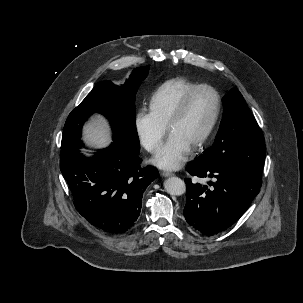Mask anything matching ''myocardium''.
I'll return each instance as SVG.
<instances>
[{
	"instance_id": "1",
	"label": "myocardium",
	"mask_w": 303,
	"mask_h": 303,
	"mask_svg": "<svg viewBox=\"0 0 303 303\" xmlns=\"http://www.w3.org/2000/svg\"><path fill=\"white\" fill-rule=\"evenodd\" d=\"M203 89L210 90L214 94L215 99H216V106H215L214 114L212 116V119H211L207 129L193 145V148L195 150H198L201 147H203V145L208 141V139L212 135V133L218 123V120H219V117L221 114L222 98H221L220 93L213 86H211L209 84H199V85L195 86L194 88H192L190 91H188L185 94V96L182 98L181 102L179 103L178 107L172 114V116L169 119V122L167 124V129L170 131V129L173 127V125L176 124L184 116L194 95L198 91L203 90Z\"/></svg>"
}]
</instances>
